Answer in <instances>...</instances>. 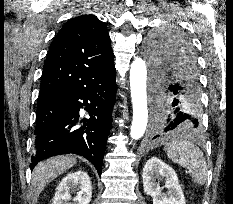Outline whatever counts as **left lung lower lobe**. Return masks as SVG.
Returning a JSON list of instances; mask_svg holds the SVG:
<instances>
[{
	"instance_id": "0a47b994",
	"label": "left lung lower lobe",
	"mask_w": 233,
	"mask_h": 204,
	"mask_svg": "<svg viewBox=\"0 0 233 204\" xmlns=\"http://www.w3.org/2000/svg\"><path fill=\"white\" fill-rule=\"evenodd\" d=\"M170 65L153 72L152 89L157 105L152 124V140L175 131H201L200 86L196 61L184 54L174 55Z\"/></svg>"
}]
</instances>
